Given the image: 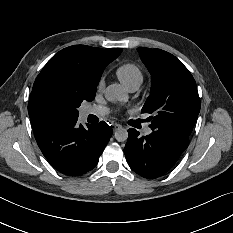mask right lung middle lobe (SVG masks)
Here are the masks:
<instances>
[{
  "mask_svg": "<svg viewBox=\"0 0 233 233\" xmlns=\"http://www.w3.org/2000/svg\"><path fill=\"white\" fill-rule=\"evenodd\" d=\"M96 87L57 84L49 88L44 97L42 115L45 121L77 120L81 103L95 98Z\"/></svg>",
  "mask_w": 233,
  "mask_h": 233,
  "instance_id": "1",
  "label": "right lung middle lobe"
}]
</instances>
